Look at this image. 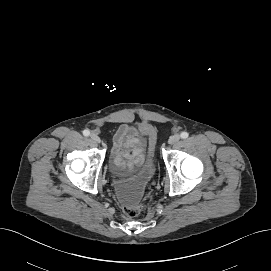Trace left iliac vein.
<instances>
[{
    "mask_svg": "<svg viewBox=\"0 0 271 271\" xmlns=\"http://www.w3.org/2000/svg\"><path fill=\"white\" fill-rule=\"evenodd\" d=\"M179 140H180V136L178 134H175L169 138L168 143L171 145H174V144L178 143Z\"/></svg>",
    "mask_w": 271,
    "mask_h": 271,
    "instance_id": "obj_1",
    "label": "left iliac vein"
}]
</instances>
